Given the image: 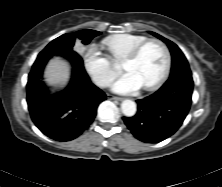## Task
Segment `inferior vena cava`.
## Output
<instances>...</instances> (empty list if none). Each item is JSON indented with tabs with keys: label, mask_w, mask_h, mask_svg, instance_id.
<instances>
[{
	"label": "inferior vena cava",
	"mask_w": 222,
	"mask_h": 187,
	"mask_svg": "<svg viewBox=\"0 0 222 187\" xmlns=\"http://www.w3.org/2000/svg\"><path fill=\"white\" fill-rule=\"evenodd\" d=\"M111 83H112V80L110 79H102L98 82V85L101 87H107V86H110Z\"/></svg>",
	"instance_id": "1"
}]
</instances>
